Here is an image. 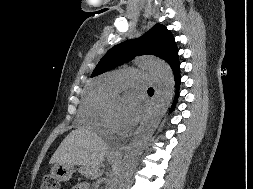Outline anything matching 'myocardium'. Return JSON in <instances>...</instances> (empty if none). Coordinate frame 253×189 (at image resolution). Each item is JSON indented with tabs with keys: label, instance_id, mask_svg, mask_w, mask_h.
I'll return each mask as SVG.
<instances>
[{
	"label": "myocardium",
	"instance_id": "1",
	"mask_svg": "<svg viewBox=\"0 0 253 189\" xmlns=\"http://www.w3.org/2000/svg\"><path fill=\"white\" fill-rule=\"evenodd\" d=\"M106 128L107 131L112 134H121L123 132L122 128H119L114 124L112 114L109 108L106 113Z\"/></svg>",
	"mask_w": 253,
	"mask_h": 189
}]
</instances>
